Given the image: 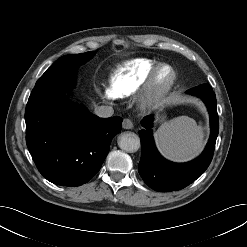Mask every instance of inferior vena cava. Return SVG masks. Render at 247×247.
<instances>
[{
    "mask_svg": "<svg viewBox=\"0 0 247 247\" xmlns=\"http://www.w3.org/2000/svg\"><path fill=\"white\" fill-rule=\"evenodd\" d=\"M95 114L102 118L111 117L114 114V110L111 106H98L94 110Z\"/></svg>",
    "mask_w": 247,
    "mask_h": 247,
    "instance_id": "inferior-vena-cava-1",
    "label": "inferior vena cava"
}]
</instances>
